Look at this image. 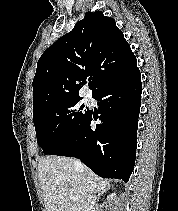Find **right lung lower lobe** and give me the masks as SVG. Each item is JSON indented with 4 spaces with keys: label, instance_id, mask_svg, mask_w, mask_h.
<instances>
[{
    "label": "right lung lower lobe",
    "instance_id": "1",
    "mask_svg": "<svg viewBox=\"0 0 178 211\" xmlns=\"http://www.w3.org/2000/svg\"><path fill=\"white\" fill-rule=\"evenodd\" d=\"M141 74L135 68L126 76L100 89L98 103L101 123L91 126L93 113L69 140L49 155L79 158L98 176L128 182L134 169L138 116L141 104ZM93 114V116H92Z\"/></svg>",
    "mask_w": 178,
    "mask_h": 211
}]
</instances>
